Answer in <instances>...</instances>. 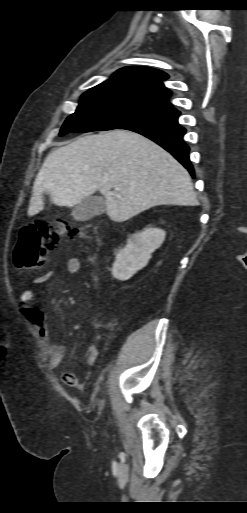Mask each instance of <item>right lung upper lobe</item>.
<instances>
[{
    "label": "right lung upper lobe",
    "mask_w": 247,
    "mask_h": 513,
    "mask_svg": "<svg viewBox=\"0 0 247 513\" xmlns=\"http://www.w3.org/2000/svg\"><path fill=\"white\" fill-rule=\"evenodd\" d=\"M167 78L166 73L157 69L130 66L118 70L111 79L94 88H111L134 93L153 104L173 108L168 103L171 91L166 89L162 82Z\"/></svg>",
    "instance_id": "right-lung-upper-lobe-1"
}]
</instances>
